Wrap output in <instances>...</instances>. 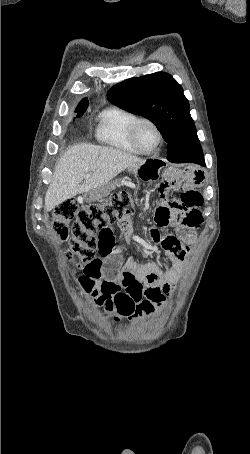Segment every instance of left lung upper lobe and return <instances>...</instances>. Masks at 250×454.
<instances>
[{
	"label": "left lung upper lobe",
	"instance_id": "left-lung-upper-lobe-1",
	"mask_svg": "<svg viewBox=\"0 0 250 454\" xmlns=\"http://www.w3.org/2000/svg\"><path fill=\"white\" fill-rule=\"evenodd\" d=\"M120 108L152 121L168 143L167 159L203 156L190 106L182 87L165 72L127 79L108 91Z\"/></svg>",
	"mask_w": 250,
	"mask_h": 454
}]
</instances>
